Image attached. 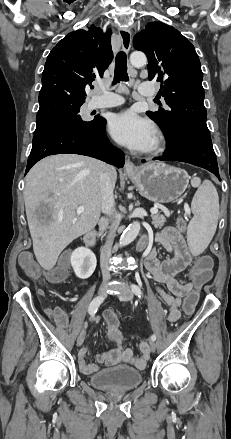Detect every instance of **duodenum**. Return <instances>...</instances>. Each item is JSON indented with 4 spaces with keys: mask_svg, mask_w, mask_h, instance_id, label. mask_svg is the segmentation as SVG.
<instances>
[{
    "mask_svg": "<svg viewBox=\"0 0 231 439\" xmlns=\"http://www.w3.org/2000/svg\"><path fill=\"white\" fill-rule=\"evenodd\" d=\"M84 243L86 244V246H88L89 248H93L95 246L96 243V232L95 230H90L88 232H86V234L83 237ZM146 246V242L145 240H141L138 245H137V249L139 251L143 250Z\"/></svg>",
    "mask_w": 231,
    "mask_h": 439,
    "instance_id": "410a0bca",
    "label": "duodenum"
}]
</instances>
